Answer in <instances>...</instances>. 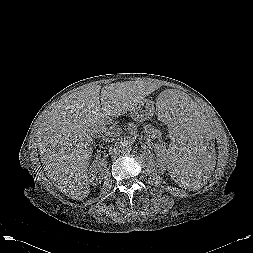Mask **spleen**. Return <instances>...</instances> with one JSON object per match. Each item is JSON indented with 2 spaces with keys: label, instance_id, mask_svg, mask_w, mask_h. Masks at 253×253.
<instances>
[{
  "label": "spleen",
  "instance_id": "spleen-1",
  "mask_svg": "<svg viewBox=\"0 0 253 253\" xmlns=\"http://www.w3.org/2000/svg\"><path fill=\"white\" fill-rule=\"evenodd\" d=\"M158 117L169 127V169L184 187L200 188L215 157V140L200 107L184 94L161 91L154 100Z\"/></svg>",
  "mask_w": 253,
  "mask_h": 253
}]
</instances>
